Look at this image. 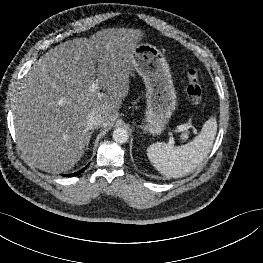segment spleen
I'll list each match as a JSON object with an SVG mask.
<instances>
[{"instance_id":"1","label":"spleen","mask_w":263,"mask_h":263,"mask_svg":"<svg viewBox=\"0 0 263 263\" xmlns=\"http://www.w3.org/2000/svg\"><path fill=\"white\" fill-rule=\"evenodd\" d=\"M217 132L215 117L209 118L200 134L185 145L174 147L157 142L147 148V156L155 169L168 178L184 177L208 156Z\"/></svg>"}]
</instances>
